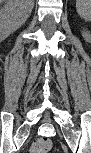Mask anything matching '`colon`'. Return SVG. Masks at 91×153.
I'll use <instances>...</instances> for the list:
<instances>
[{"label": "colon", "mask_w": 91, "mask_h": 153, "mask_svg": "<svg viewBox=\"0 0 91 153\" xmlns=\"http://www.w3.org/2000/svg\"><path fill=\"white\" fill-rule=\"evenodd\" d=\"M52 148V141L47 137L36 139L30 149L31 153H48Z\"/></svg>", "instance_id": "1"}]
</instances>
